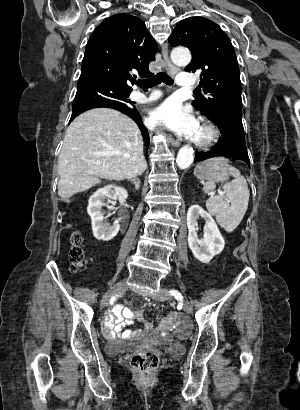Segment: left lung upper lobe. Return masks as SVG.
I'll use <instances>...</instances> for the list:
<instances>
[{
    "label": "left lung upper lobe",
    "instance_id": "obj_1",
    "mask_svg": "<svg viewBox=\"0 0 300 410\" xmlns=\"http://www.w3.org/2000/svg\"><path fill=\"white\" fill-rule=\"evenodd\" d=\"M192 52L187 72H199L207 97H195L192 105L213 120L222 113L242 117L241 82L234 48L228 36L214 22L202 17L180 21L168 39Z\"/></svg>",
    "mask_w": 300,
    "mask_h": 410
}]
</instances>
